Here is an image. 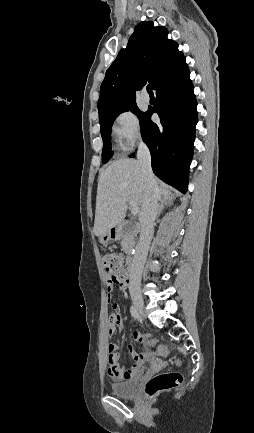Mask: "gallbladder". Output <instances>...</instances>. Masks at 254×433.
Listing matches in <instances>:
<instances>
[{"label":"gallbladder","instance_id":"1","mask_svg":"<svg viewBox=\"0 0 254 433\" xmlns=\"http://www.w3.org/2000/svg\"><path fill=\"white\" fill-rule=\"evenodd\" d=\"M129 231H131V224H126V225L123 226V228L121 230V233H126V232H129Z\"/></svg>","mask_w":254,"mask_h":433}]
</instances>
